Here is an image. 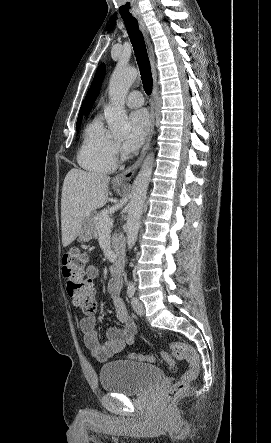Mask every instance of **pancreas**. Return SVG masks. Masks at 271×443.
Instances as JSON below:
<instances>
[{
    "label": "pancreas",
    "instance_id": "1",
    "mask_svg": "<svg viewBox=\"0 0 271 443\" xmlns=\"http://www.w3.org/2000/svg\"><path fill=\"white\" fill-rule=\"evenodd\" d=\"M106 216H108V212L107 210H101V212H98V214H96V216H94L93 218V227H94V233H93V237H99V233H101L102 229H105L104 225L102 227V225H100V218H106ZM108 231H111L110 227H107ZM116 235L117 233H113L112 235V243L115 247L116 243H115V239H116Z\"/></svg>",
    "mask_w": 271,
    "mask_h": 443
}]
</instances>
